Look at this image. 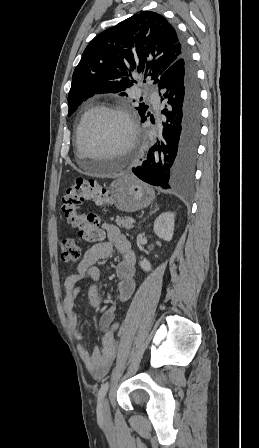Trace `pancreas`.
Segmentation results:
<instances>
[{"mask_svg":"<svg viewBox=\"0 0 259 448\" xmlns=\"http://www.w3.org/2000/svg\"><path fill=\"white\" fill-rule=\"evenodd\" d=\"M115 222L118 224L119 228H126V230H131V228H134V220L133 218H129V216H125V218L116 216Z\"/></svg>","mask_w":259,"mask_h":448,"instance_id":"cf45deb5","label":"pancreas"}]
</instances>
